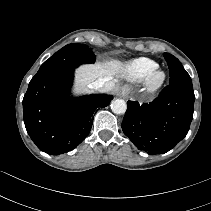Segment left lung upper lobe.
<instances>
[{
  "label": "left lung upper lobe",
  "instance_id": "5c2ea615",
  "mask_svg": "<svg viewBox=\"0 0 211 211\" xmlns=\"http://www.w3.org/2000/svg\"><path fill=\"white\" fill-rule=\"evenodd\" d=\"M170 72L169 84H187L192 85L191 78L186 72L181 62L169 53L163 54Z\"/></svg>",
  "mask_w": 211,
  "mask_h": 211
}]
</instances>
